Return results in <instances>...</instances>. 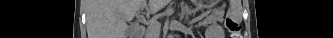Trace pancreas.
<instances>
[{
    "instance_id": "pancreas-1",
    "label": "pancreas",
    "mask_w": 333,
    "mask_h": 38,
    "mask_svg": "<svg viewBox=\"0 0 333 38\" xmlns=\"http://www.w3.org/2000/svg\"><path fill=\"white\" fill-rule=\"evenodd\" d=\"M159 31V24H154L153 26H151L150 28H148L147 32H146V37L147 38H152L156 32Z\"/></svg>"
}]
</instances>
